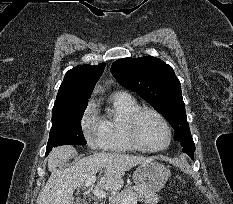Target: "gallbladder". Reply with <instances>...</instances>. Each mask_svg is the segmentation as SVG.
I'll return each instance as SVG.
<instances>
[{
    "label": "gallbladder",
    "mask_w": 233,
    "mask_h": 204,
    "mask_svg": "<svg viewBox=\"0 0 233 204\" xmlns=\"http://www.w3.org/2000/svg\"><path fill=\"white\" fill-rule=\"evenodd\" d=\"M76 204H87L83 199H77Z\"/></svg>",
    "instance_id": "1"
}]
</instances>
